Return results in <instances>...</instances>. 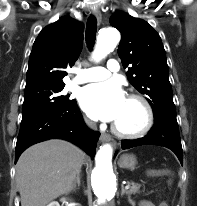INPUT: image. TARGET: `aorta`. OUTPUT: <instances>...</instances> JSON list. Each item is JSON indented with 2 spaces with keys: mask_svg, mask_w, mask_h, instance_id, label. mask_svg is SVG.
Here are the masks:
<instances>
[{
  "mask_svg": "<svg viewBox=\"0 0 197 206\" xmlns=\"http://www.w3.org/2000/svg\"><path fill=\"white\" fill-rule=\"evenodd\" d=\"M120 41V34L115 28L103 29L98 36L92 58L99 61L114 50ZM112 147L105 144L100 147L95 157V168L92 172V188L99 205L110 201L117 190L116 178L112 170Z\"/></svg>",
  "mask_w": 197,
  "mask_h": 206,
  "instance_id": "1",
  "label": "aorta"
}]
</instances>
